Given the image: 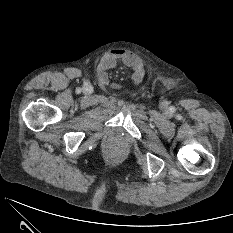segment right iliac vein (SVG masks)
<instances>
[{
    "label": "right iliac vein",
    "instance_id": "63e3f726",
    "mask_svg": "<svg viewBox=\"0 0 233 233\" xmlns=\"http://www.w3.org/2000/svg\"><path fill=\"white\" fill-rule=\"evenodd\" d=\"M93 91L92 87L91 86H87L86 87V92L87 93H91Z\"/></svg>",
    "mask_w": 233,
    "mask_h": 233
}]
</instances>
